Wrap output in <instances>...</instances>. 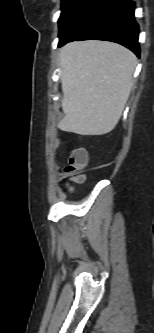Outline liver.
Here are the masks:
<instances>
[{"instance_id": "6515ba94", "label": "liver", "mask_w": 154, "mask_h": 333, "mask_svg": "<svg viewBox=\"0 0 154 333\" xmlns=\"http://www.w3.org/2000/svg\"><path fill=\"white\" fill-rule=\"evenodd\" d=\"M65 132L98 136L117 125L133 85L136 56L107 41H75L60 50Z\"/></svg>"}]
</instances>
